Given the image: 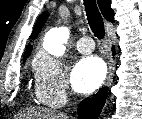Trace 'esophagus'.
<instances>
[{
  "label": "esophagus",
  "mask_w": 142,
  "mask_h": 119,
  "mask_svg": "<svg viewBox=\"0 0 142 119\" xmlns=\"http://www.w3.org/2000/svg\"><path fill=\"white\" fill-rule=\"evenodd\" d=\"M114 71H115V63L113 60H111L110 67H109V73H108V76L105 82V86L111 85L113 81Z\"/></svg>",
  "instance_id": "34e87169"
}]
</instances>
